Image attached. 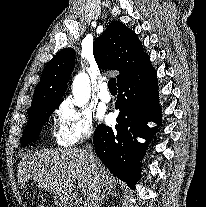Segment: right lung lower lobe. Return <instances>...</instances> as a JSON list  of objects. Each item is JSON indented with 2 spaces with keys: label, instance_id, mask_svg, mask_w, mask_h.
Here are the masks:
<instances>
[{
  "label": "right lung lower lobe",
  "instance_id": "1",
  "mask_svg": "<svg viewBox=\"0 0 206 207\" xmlns=\"http://www.w3.org/2000/svg\"><path fill=\"white\" fill-rule=\"evenodd\" d=\"M117 85L118 124L114 128L99 125L93 143L96 154L108 169L134 188L140 178V161L156 132V128H149L147 122L158 124L161 120L156 71L149 57ZM137 137L145 138L146 143L138 142Z\"/></svg>",
  "mask_w": 206,
  "mask_h": 207
}]
</instances>
